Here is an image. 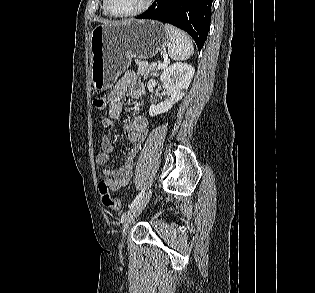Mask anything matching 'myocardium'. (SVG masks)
I'll list each match as a JSON object with an SVG mask.
<instances>
[{
  "label": "myocardium",
  "mask_w": 315,
  "mask_h": 293,
  "mask_svg": "<svg viewBox=\"0 0 315 293\" xmlns=\"http://www.w3.org/2000/svg\"><path fill=\"white\" fill-rule=\"evenodd\" d=\"M105 1V7L108 11V13L113 16V17H118V18H127V17H134L138 16L144 12H146L154 3V0H146L144 5L140 7L139 9L129 12V13H117L112 9L111 6V0H104Z\"/></svg>",
  "instance_id": "obj_1"
}]
</instances>
